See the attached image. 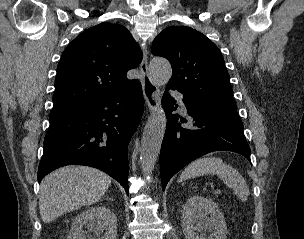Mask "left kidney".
<instances>
[{
  "label": "left kidney",
  "instance_id": "1",
  "mask_svg": "<svg viewBox=\"0 0 304 239\" xmlns=\"http://www.w3.org/2000/svg\"><path fill=\"white\" fill-rule=\"evenodd\" d=\"M181 214L182 229L187 239L227 238L224 216L212 200L198 195L190 197L183 206ZM206 231L210 232L208 237Z\"/></svg>",
  "mask_w": 304,
  "mask_h": 239
}]
</instances>
